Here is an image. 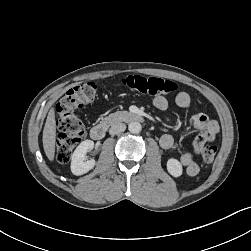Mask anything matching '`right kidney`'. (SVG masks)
Masks as SVG:
<instances>
[{"mask_svg": "<svg viewBox=\"0 0 251 251\" xmlns=\"http://www.w3.org/2000/svg\"><path fill=\"white\" fill-rule=\"evenodd\" d=\"M94 148L92 140H85L75 149L71 160V172L74 175H83L94 168V159L86 160V153Z\"/></svg>", "mask_w": 251, "mask_h": 251, "instance_id": "obj_1", "label": "right kidney"}]
</instances>
